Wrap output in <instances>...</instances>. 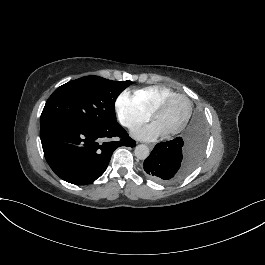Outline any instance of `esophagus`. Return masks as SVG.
<instances>
[{"instance_id": "1", "label": "esophagus", "mask_w": 265, "mask_h": 265, "mask_svg": "<svg viewBox=\"0 0 265 265\" xmlns=\"http://www.w3.org/2000/svg\"><path fill=\"white\" fill-rule=\"evenodd\" d=\"M148 147L152 150L154 148V144H148Z\"/></svg>"}]
</instances>
